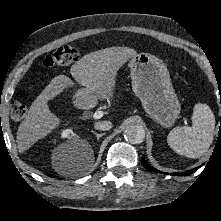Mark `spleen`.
I'll return each instance as SVG.
<instances>
[{
  "mask_svg": "<svg viewBox=\"0 0 221 221\" xmlns=\"http://www.w3.org/2000/svg\"><path fill=\"white\" fill-rule=\"evenodd\" d=\"M215 116L207 104L197 103L192 126L176 127L167 137L169 146L188 158H199L209 149L214 135Z\"/></svg>",
  "mask_w": 221,
  "mask_h": 221,
  "instance_id": "spleen-1",
  "label": "spleen"
}]
</instances>
